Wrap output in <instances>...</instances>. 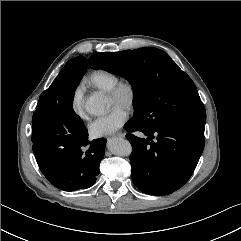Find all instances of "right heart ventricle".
<instances>
[{"mask_svg": "<svg viewBox=\"0 0 241 241\" xmlns=\"http://www.w3.org/2000/svg\"><path fill=\"white\" fill-rule=\"evenodd\" d=\"M87 81L93 87L108 92L120 81V78L111 71L97 69L88 75Z\"/></svg>", "mask_w": 241, "mask_h": 241, "instance_id": "right-heart-ventricle-1", "label": "right heart ventricle"}]
</instances>
